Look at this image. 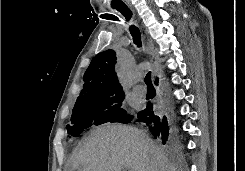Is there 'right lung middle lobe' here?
Listing matches in <instances>:
<instances>
[{"label": "right lung middle lobe", "instance_id": "obj_1", "mask_svg": "<svg viewBox=\"0 0 245 171\" xmlns=\"http://www.w3.org/2000/svg\"><path fill=\"white\" fill-rule=\"evenodd\" d=\"M124 93L93 97L78 100L73 108L71 125L67 127L68 133L74 137L94 125L107 122H130V117L121 108Z\"/></svg>", "mask_w": 245, "mask_h": 171}]
</instances>
